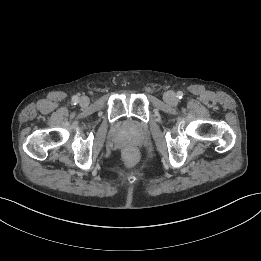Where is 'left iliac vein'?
<instances>
[{"instance_id": "obj_1", "label": "left iliac vein", "mask_w": 261, "mask_h": 261, "mask_svg": "<svg viewBox=\"0 0 261 261\" xmlns=\"http://www.w3.org/2000/svg\"><path fill=\"white\" fill-rule=\"evenodd\" d=\"M164 100L168 104H175L177 101L176 94L172 91H168L164 94Z\"/></svg>"}]
</instances>
